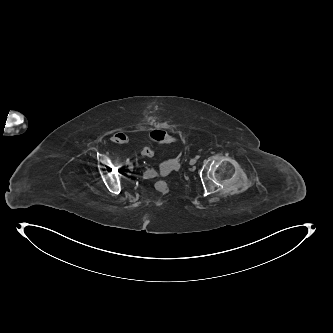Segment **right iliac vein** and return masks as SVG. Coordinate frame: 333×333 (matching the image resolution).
<instances>
[{
    "label": "right iliac vein",
    "instance_id": "63e3f726",
    "mask_svg": "<svg viewBox=\"0 0 333 333\" xmlns=\"http://www.w3.org/2000/svg\"><path fill=\"white\" fill-rule=\"evenodd\" d=\"M129 169L132 171V169H133L132 163L129 164Z\"/></svg>",
    "mask_w": 333,
    "mask_h": 333
}]
</instances>
